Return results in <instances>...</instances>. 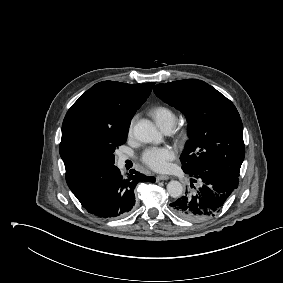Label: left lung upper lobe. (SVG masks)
<instances>
[{
  "mask_svg": "<svg viewBox=\"0 0 283 283\" xmlns=\"http://www.w3.org/2000/svg\"><path fill=\"white\" fill-rule=\"evenodd\" d=\"M154 92L187 118L190 140L180 157L183 170L190 174L223 171L239 177L245 146L242 121L233 103L197 79L158 84Z\"/></svg>",
  "mask_w": 283,
  "mask_h": 283,
  "instance_id": "1",
  "label": "left lung upper lobe"
}]
</instances>
